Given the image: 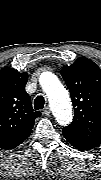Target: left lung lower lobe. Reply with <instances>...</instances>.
Masks as SVG:
<instances>
[{"mask_svg": "<svg viewBox=\"0 0 101 180\" xmlns=\"http://www.w3.org/2000/svg\"><path fill=\"white\" fill-rule=\"evenodd\" d=\"M65 139L75 148L79 149V150H90L94 147H97L98 145L82 140V139H77L75 137L72 136H68L66 134H64Z\"/></svg>", "mask_w": 101, "mask_h": 180, "instance_id": "0a47b994", "label": "left lung lower lobe"}]
</instances>
